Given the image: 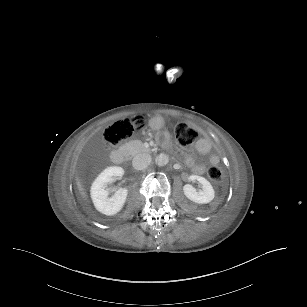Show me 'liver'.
<instances>
[{"mask_svg":"<svg viewBox=\"0 0 307 307\" xmlns=\"http://www.w3.org/2000/svg\"><path fill=\"white\" fill-rule=\"evenodd\" d=\"M76 185H77V189L81 195V197L83 198L84 201L88 202V195L83 187V184L81 183L79 177L76 175Z\"/></svg>","mask_w":307,"mask_h":307,"instance_id":"liver-1","label":"liver"}]
</instances>
